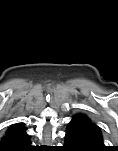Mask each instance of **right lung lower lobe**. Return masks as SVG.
I'll list each match as a JSON object with an SVG mask.
<instances>
[{
    "label": "right lung lower lobe",
    "mask_w": 118,
    "mask_h": 151,
    "mask_svg": "<svg viewBox=\"0 0 118 151\" xmlns=\"http://www.w3.org/2000/svg\"><path fill=\"white\" fill-rule=\"evenodd\" d=\"M29 150H32V146L30 145V141L28 140L24 144L20 145L17 148V150H14V151H29ZM4 151H6V150H4Z\"/></svg>",
    "instance_id": "right-lung-lower-lobe-1"
}]
</instances>
